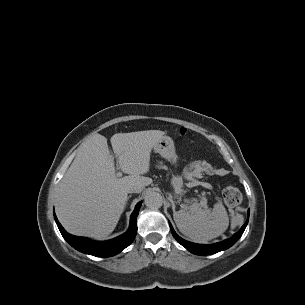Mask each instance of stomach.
Here are the masks:
<instances>
[{
    "label": "stomach",
    "instance_id": "0dacf381",
    "mask_svg": "<svg viewBox=\"0 0 305 305\" xmlns=\"http://www.w3.org/2000/svg\"><path fill=\"white\" fill-rule=\"evenodd\" d=\"M154 151L156 153H159L161 155V157H163L167 161L171 162L172 164H176L178 161V155L176 153L174 141L168 136H163L154 145ZM171 184L173 186L176 197L183 195L185 190L183 188L184 183H183L182 176L174 175L172 177Z\"/></svg>",
    "mask_w": 305,
    "mask_h": 305
}]
</instances>
